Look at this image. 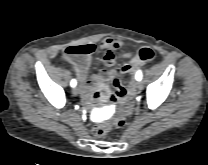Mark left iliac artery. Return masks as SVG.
<instances>
[{"label":"left iliac artery","mask_w":208,"mask_h":165,"mask_svg":"<svg viewBox=\"0 0 208 165\" xmlns=\"http://www.w3.org/2000/svg\"><path fill=\"white\" fill-rule=\"evenodd\" d=\"M136 80L137 81H140L141 79H142V72L141 71H138L137 73H136Z\"/></svg>","instance_id":"44dca946"}]
</instances>
